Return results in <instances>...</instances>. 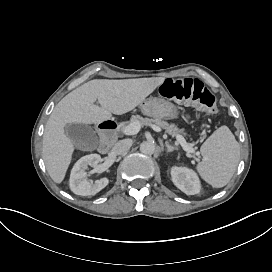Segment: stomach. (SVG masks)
Masks as SVG:
<instances>
[{"mask_svg": "<svg viewBox=\"0 0 272 272\" xmlns=\"http://www.w3.org/2000/svg\"><path fill=\"white\" fill-rule=\"evenodd\" d=\"M140 107L145 115L160 120H176L181 116L180 108L163 98L150 97L144 100Z\"/></svg>", "mask_w": 272, "mask_h": 272, "instance_id": "1", "label": "stomach"}]
</instances>
